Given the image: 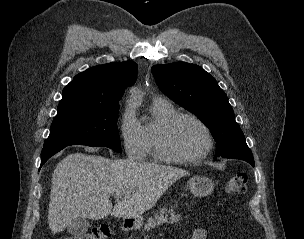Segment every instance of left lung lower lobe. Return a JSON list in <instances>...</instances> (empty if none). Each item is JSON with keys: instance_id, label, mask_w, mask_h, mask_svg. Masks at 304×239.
<instances>
[{"instance_id": "1", "label": "left lung lower lobe", "mask_w": 304, "mask_h": 239, "mask_svg": "<svg viewBox=\"0 0 304 239\" xmlns=\"http://www.w3.org/2000/svg\"><path fill=\"white\" fill-rule=\"evenodd\" d=\"M248 163H250L254 167V161H249Z\"/></svg>"}]
</instances>
